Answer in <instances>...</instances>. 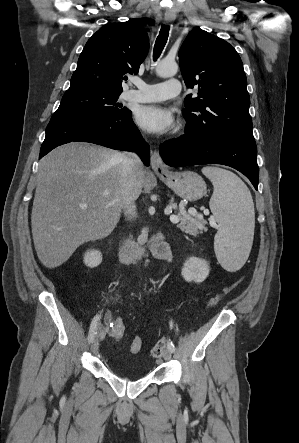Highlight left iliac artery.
Returning <instances> with one entry per match:
<instances>
[{
  "label": "left iliac artery",
  "mask_w": 299,
  "mask_h": 443,
  "mask_svg": "<svg viewBox=\"0 0 299 443\" xmlns=\"http://www.w3.org/2000/svg\"><path fill=\"white\" fill-rule=\"evenodd\" d=\"M173 327V323H172V321H170V328H172ZM168 349L171 351V352H175V346H174V344L172 343V342H169L168 343Z\"/></svg>",
  "instance_id": "44dca946"
}]
</instances>
